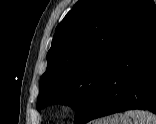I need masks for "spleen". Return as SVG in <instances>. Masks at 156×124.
<instances>
[{
    "mask_svg": "<svg viewBox=\"0 0 156 124\" xmlns=\"http://www.w3.org/2000/svg\"><path fill=\"white\" fill-rule=\"evenodd\" d=\"M126 117L133 118L134 124H156V115L143 110H130L125 112Z\"/></svg>",
    "mask_w": 156,
    "mask_h": 124,
    "instance_id": "1",
    "label": "spleen"
}]
</instances>
